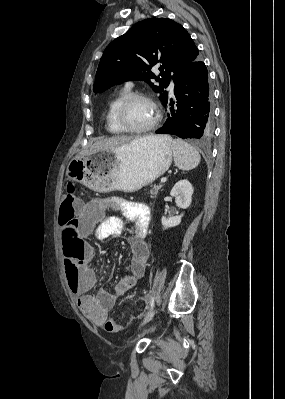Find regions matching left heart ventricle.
I'll return each mask as SVG.
<instances>
[{
    "label": "left heart ventricle",
    "mask_w": 285,
    "mask_h": 399,
    "mask_svg": "<svg viewBox=\"0 0 285 399\" xmlns=\"http://www.w3.org/2000/svg\"><path fill=\"white\" fill-rule=\"evenodd\" d=\"M155 109L148 101L136 100L127 110V122L131 127L142 128L153 122Z\"/></svg>",
    "instance_id": "left-heart-ventricle-1"
}]
</instances>
